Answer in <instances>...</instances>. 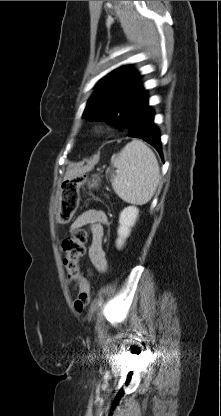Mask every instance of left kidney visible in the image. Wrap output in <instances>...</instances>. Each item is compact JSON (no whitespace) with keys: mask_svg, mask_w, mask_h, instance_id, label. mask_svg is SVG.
Masks as SVG:
<instances>
[{"mask_svg":"<svg viewBox=\"0 0 221 416\" xmlns=\"http://www.w3.org/2000/svg\"><path fill=\"white\" fill-rule=\"evenodd\" d=\"M139 214V209L135 206H129L124 208L119 216L118 238L116 240V246L120 249L126 238L129 237L131 228L134 226Z\"/></svg>","mask_w":221,"mask_h":416,"instance_id":"1","label":"left kidney"}]
</instances>
